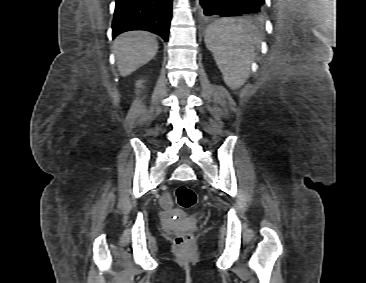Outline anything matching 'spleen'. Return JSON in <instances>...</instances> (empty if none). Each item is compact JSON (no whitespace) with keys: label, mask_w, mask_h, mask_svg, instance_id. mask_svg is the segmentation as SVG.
<instances>
[{"label":"spleen","mask_w":366,"mask_h":283,"mask_svg":"<svg viewBox=\"0 0 366 283\" xmlns=\"http://www.w3.org/2000/svg\"><path fill=\"white\" fill-rule=\"evenodd\" d=\"M256 29L246 20L222 19L205 32V44L232 89L240 88L248 79L255 57Z\"/></svg>","instance_id":"1"}]
</instances>
